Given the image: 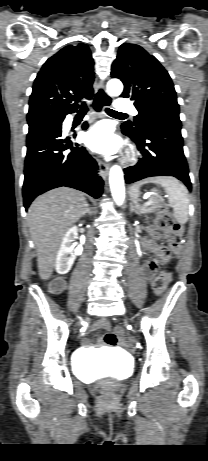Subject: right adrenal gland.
Segmentation results:
<instances>
[{
    "mask_svg": "<svg viewBox=\"0 0 208 461\" xmlns=\"http://www.w3.org/2000/svg\"><path fill=\"white\" fill-rule=\"evenodd\" d=\"M85 214H88V215H90V216L93 214V212L91 211V208L89 207L88 204H87V209H86Z\"/></svg>",
    "mask_w": 208,
    "mask_h": 461,
    "instance_id": "1",
    "label": "right adrenal gland"
}]
</instances>
